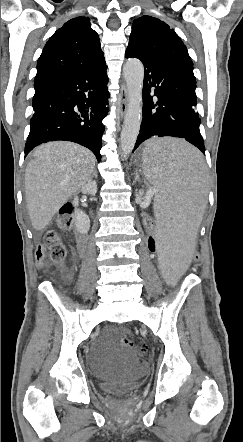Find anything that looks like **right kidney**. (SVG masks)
I'll return each mask as SVG.
<instances>
[{"mask_svg": "<svg viewBox=\"0 0 243 442\" xmlns=\"http://www.w3.org/2000/svg\"><path fill=\"white\" fill-rule=\"evenodd\" d=\"M81 191L84 194L95 195L97 192L96 182L89 180L88 183L82 187ZM73 205L75 207L78 206V197L77 196L74 197ZM74 220H75L76 229L79 233L85 234L88 232V230L90 228V219L87 214H85L83 211L76 208L75 212H74Z\"/></svg>", "mask_w": 243, "mask_h": 442, "instance_id": "obj_1", "label": "right kidney"}]
</instances>
